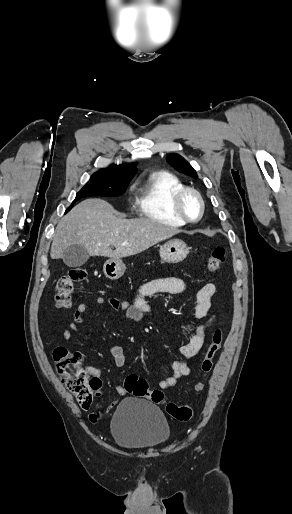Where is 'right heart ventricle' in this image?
<instances>
[{"label": "right heart ventricle", "mask_w": 292, "mask_h": 514, "mask_svg": "<svg viewBox=\"0 0 292 514\" xmlns=\"http://www.w3.org/2000/svg\"><path fill=\"white\" fill-rule=\"evenodd\" d=\"M182 186L181 180L169 172H152L140 184L132 204L133 210L164 225L183 227L185 222L172 213L169 202L172 192Z\"/></svg>", "instance_id": "1"}]
</instances>
